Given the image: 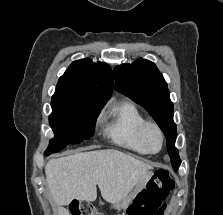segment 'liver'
Segmentation results:
<instances>
[{
	"instance_id": "liver-1",
	"label": "liver",
	"mask_w": 223,
	"mask_h": 215,
	"mask_svg": "<svg viewBox=\"0 0 223 215\" xmlns=\"http://www.w3.org/2000/svg\"><path fill=\"white\" fill-rule=\"evenodd\" d=\"M148 169L152 165L118 149L81 151L49 159L45 165L47 185L57 205H68L72 199L94 201L96 185L103 199L118 203ZM58 215H69V211L58 207Z\"/></svg>"
}]
</instances>
